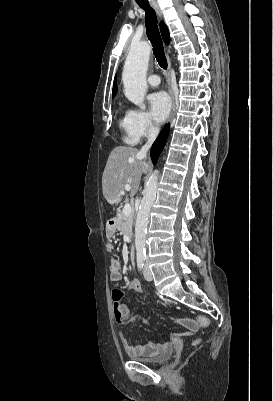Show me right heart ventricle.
Wrapping results in <instances>:
<instances>
[{"label":"right heart ventricle","mask_w":273,"mask_h":401,"mask_svg":"<svg viewBox=\"0 0 273 401\" xmlns=\"http://www.w3.org/2000/svg\"><path fill=\"white\" fill-rule=\"evenodd\" d=\"M119 126L122 130H124L127 135L125 137V142L131 145H134L138 142V138L134 137L130 132H129V124H128V117H127V111H124L123 117L119 121Z\"/></svg>","instance_id":"obj_1"}]
</instances>
